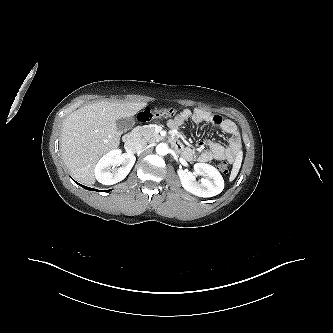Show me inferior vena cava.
<instances>
[{
	"mask_svg": "<svg viewBox=\"0 0 333 333\" xmlns=\"http://www.w3.org/2000/svg\"><path fill=\"white\" fill-rule=\"evenodd\" d=\"M147 143L144 140L136 139L125 144V149L128 153L132 154L143 150Z\"/></svg>",
	"mask_w": 333,
	"mask_h": 333,
	"instance_id": "obj_1",
	"label": "inferior vena cava"
}]
</instances>
